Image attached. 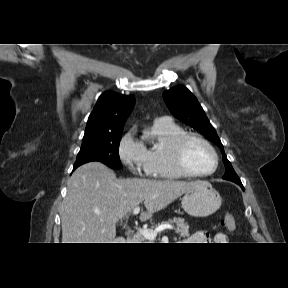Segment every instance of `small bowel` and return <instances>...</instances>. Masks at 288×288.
Listing matches in <instances>:
<instances>
[{"label":"small bowel","instance_id":"obj_1","mask_svg":"<svg viewBox=\"0 0 288 288\" xmlns=\"http://www.w3.org/2000/svg\"><path fill=\"white\" fill-rule=\"evenodd\" d=\"M190 243H208V242H216V243H226L227 237L223 233H216L212 237L206 231H197L191 235L189 238Z\"/></svg>","mask_w":288,"mask_h":288}]
</instances>
